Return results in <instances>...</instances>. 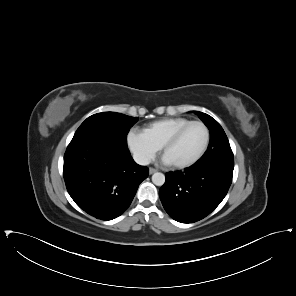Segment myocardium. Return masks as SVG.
Instances as JSON below:
<instances>
[{"label":"myocardium","mask_w":296,"mask_h":296,"mask_svg":"<svg viewBox=\"0 0 296 296\" xmlns=\"http://www.w3.org/2000/svg\"><path fill=\"white\" fill-rule=\"evenodd\" d=\"M192 125H199L204 129L205 132V141L204 144L201 148V150L197 153V155L195 157H193L190 160L187 161H183V162H179V163H170V165H172L175 168H185V167H189L195 163H197L205 154L208 145H209V141H210V132L209 129L207 128V126L201 122V121H190L187 124H185L184 126H182L181 128H179L176 132H174L163 144L162 146V153L163 155H165L167 149L173 145L177 139L180 137V135L190 126Z\"/></svg>","instance_id":"1"}]
</instances>
